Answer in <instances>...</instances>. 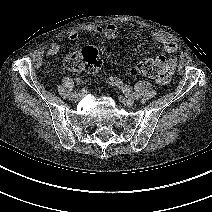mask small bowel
Wrapping results in <instances>:
<instances>
[{
  "label": "small bowel",
  "mask_w": 212,
  "mask_h": 212,
  "mask_svg": "<svg viewBox=\"0 0 212 212\" xmlns=\"http://www.w3.org/2000/svg\"><path fill=\"white\" fill-rule=\"evenodd\" d=\"M87 32L94 34H103L108 39H115L119 34V27L114 23H108L105 25H90L85 28ZM150 36L160 44H162L163 49L168 54H173L178 50V45L175 41L165 37L158 32H149ZM79 38V33L77 31H72L68 35V39L72 42ZM60 46L57 43H52L48 49V55L55 56L59 53ZM165 59V65L163 67V76L158 82L162 85L167 84L171 78L173 71L176 66V59L173 56H157ZM78 81L80 79H77Z\"/></svg>",
  "instance_id": "obj_1"
}]
</instances>
